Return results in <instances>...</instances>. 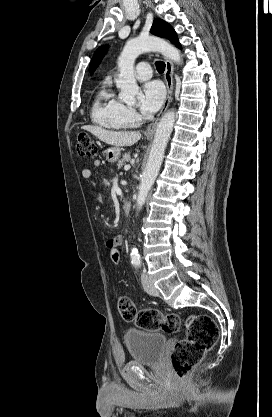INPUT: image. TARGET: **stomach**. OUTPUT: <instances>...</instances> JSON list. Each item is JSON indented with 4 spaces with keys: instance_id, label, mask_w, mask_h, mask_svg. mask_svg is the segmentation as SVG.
I'll use <instances>...</instances> for the list:
<instances>
[{
    "instance_id": "stomach-1",
    "label": "stomach",
    "mask_w": 272,
    "mask_h": 417,
    "mask_svg": "<svg viewBox=\"0 0 272 417\" xmlns=\"http://www.w3.org/2000/svg\"><path fill=\"white\" fill-rule=\"evenodd\" d=\"M104 154L108 162L114 163L119 159L121 155V149L119 146L109 147L104 151Z\"/></svg>"
}]
</instances>
